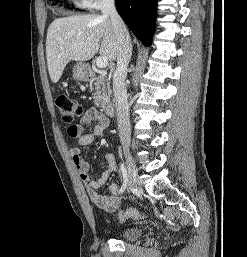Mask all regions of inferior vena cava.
<instances>
[{
    "mask_svg": "<svg viewBox=\"0 0 247 257\" xmlns=\"http://www.w3.org/2000/svg\"><path fill=\"white\" fill-rule=\"evenodd\" d=\"M101 12L104 16H110L117 36L118 54L117 67L113 75V92L120 142L122 146L128 147L130 145L131 129L128 96L124 81L132 55L131 39L125 23L116 11L114 0H102Z\"/></svg>",
    "mask_w": 247,
    "mask_h": 257,
    "instance_id": "602c4592",
    "label": "inferior vena cava"
}]
</instances>
